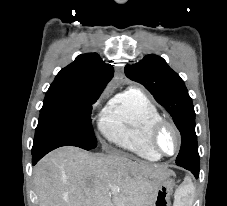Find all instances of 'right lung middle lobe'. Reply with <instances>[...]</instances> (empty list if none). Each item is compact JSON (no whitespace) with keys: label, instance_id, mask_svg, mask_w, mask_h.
<instances>
[{"label":"right lung middle lobe","instance_id":"obj_1","mask_svg":"<svg viewBox=\"0 0 227 206\" xmlns=\"http://www.w3.org/2000/svg\"><path fill=\"white\" fill-rule=\"evenodd\" d=\"M99 96L48 90L40 110L32 149L48 143L94 149L97 140L89 114L92 112L90 105Z\"/></svg>","mask_w":227,"mask_h":206}]
</instances>
